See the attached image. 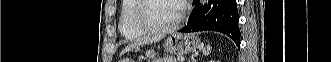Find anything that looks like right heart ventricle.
Listing matches in <instances>:
<instances>
[{"label":"right heart ventricle","mask_w":331,"mask_h":62,"mask_svg":"<svg viewBox=\"0 0 331 62\" xmlns=\"http://www.w3.org/2000/svg\"><path fill=\"white\" fill-rule=\"evenodd\" d=\"M137 0H124L120 5L119 31L126 40H136L145 35L134 23Z\"/></svg>","instance_id":"e07e8e85"}]
</instances>
